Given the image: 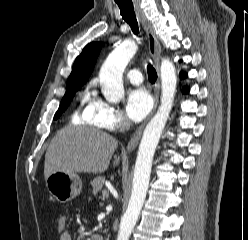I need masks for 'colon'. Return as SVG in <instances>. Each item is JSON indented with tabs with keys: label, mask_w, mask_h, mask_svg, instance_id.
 <instances>
[{
	"label": "colon",
	"mask_w": 248,
	"mask_h": 240,
	"mask_svg": "<svg viewBox=\"0 0 248 240\" xmlns=\"http://www.w3.org/2000/svg\"><path fill=\"white\" fill-rule=\"evenodd\" d=\"M67 217L64 214H61L58 216L57 218V222H56V227H57V231L61 234L65 231H67Z\"/></svg>",
	"instance_id": "obj_1"
}]
</instances>
